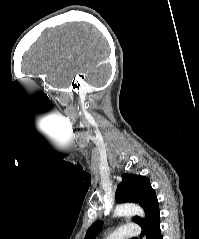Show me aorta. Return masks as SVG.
<instances>
[{"label": "aorta", "instance_id": "1", "mask_svg": "<svg viewBox=\"0 0 199 239\" xmlns=\"http://www.w3.org/2000/svg\"><path fill=\"white\" fill-rule=\"evenodd\" d=\"M131 215H138L140 217H144L145 213L139 205L131 203L117 205L114 210V217H123Z\"/></svg>", "mask_w": 199, "mask_h": 239}]
</instances>
